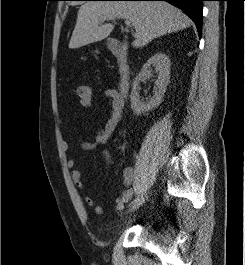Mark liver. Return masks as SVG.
Instances as JSON below:
<instances>
[{
  "instance_id": "obj_1",
  "label": "liver",
  "mask_w": 245,
  "mask_h": 265,
  "mask_svg": "<svg viewBox=\"0 0 245 265\" xmlns=\"http://www.w3.org/2000/svg\"><path fill=\"white\" fill-rule=\"evenodd\" d=\"M104 16H116L132 23L136 30L132 43L135 48L191 25L187 15L167 2L89 1L78 10L69 48L77 49L107 38L114 26L102 25L101 17Z\"/></svg>"
}]
</instances>
